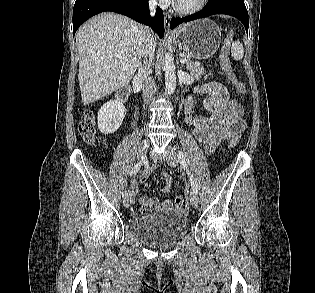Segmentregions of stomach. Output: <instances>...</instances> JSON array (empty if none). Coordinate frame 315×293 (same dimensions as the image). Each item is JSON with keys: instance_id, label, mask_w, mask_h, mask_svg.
I'll use <instances>...</instances> for the list:
<instances>
[{"instance_id": "1", "label": "stomach", "mask_w": 315, "mask_h": 293, "mask_svg": "<svg viewBox=\"0 0 315 293\" xmlns=\"http://www.w3.org/2000/svg\"><path fill=\"white\" fill-rule=\"evenodd\" d=\"M176 46L198 60L212 57L221 42V29L209 19L196 20L178 27L171 35Z\"/></svg>"}]
</instances>
